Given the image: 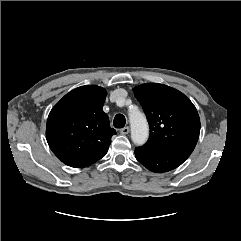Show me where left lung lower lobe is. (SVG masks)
<instances>
[{
    "label": "left lung lower lobe",
    "instance_id": "left-lung-lower-lobe-1",
    "mask_svg": "<svg viewBox=\"0 0 241 241\" xmlns=\"http://www.w3.org/2000/svg\"><path fill=\"white\" fill-rule=\"evenodd\" d=\"M191 153L177 150L156 149L146 145L135 149L136 159L153 172H167L180 166Z\"/></svg>",
    "mask_w": 241,
    "mask_h": 241
}]
</instances>
